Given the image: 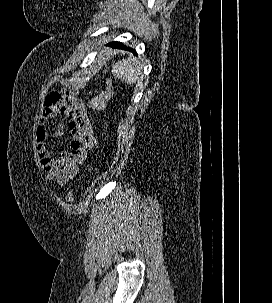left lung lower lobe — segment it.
<instances>
[{
  "label": "left lung lower lobe",
  "instance_id": "left-lung-lower-lobe-1",
  "mask_svg": "<svg viewBox=\"0 0 272 303\" xmlns=\"http://www.w3.org/2000/svg\"><path fill=\"white\" fill-rule=\"evenodd\" d=\"M109 45H112L113 47H116V48H121V49H126V50H129V51H133L134 53H136L135 50H132L130 48H127L126 46H124L122 43L120 42H112L110 43Z\"/></svg>",
  "mask_w": 272,
  "mask_h": 303
}]
</instances>
